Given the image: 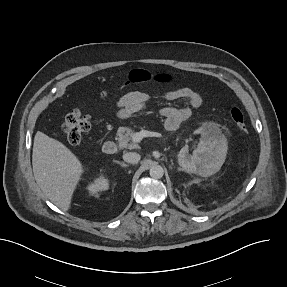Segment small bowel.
I'll return each instance as SVG.
<instances>
[{"label": "small bowel", "mask_w": 287, "mask_h": 287, "mask_svg": "<svg viewBox=\"0 0 287 287\" xmlns=\"http://www.w3.org/2000/svg\"><path fill=\"white\" fill-rule=\"evenodd\" d=\"M161 98L169 102L179 100L188 102L187 107L170 104L160 109L159 113L165 119V127L168 130L178 129L190 118L192 111L200 108L203 103L201 95L187 87L167 91L161 95ZM150 101L151 97L143 91L128 92L117 102L118 116L121 119H128L144 110Z\"/></svg>", "instance_id": "small-bowel-1"}]
</instances>
